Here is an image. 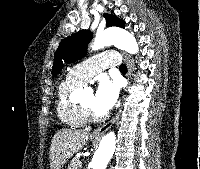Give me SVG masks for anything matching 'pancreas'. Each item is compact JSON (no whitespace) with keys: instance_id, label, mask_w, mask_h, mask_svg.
<instances>
[{"instance_id":"obj_1","label":"pancreas","mask_w":200,"mask_h":169,"mask_svg":"<svg viewBox=\"0 0 200 169\" xmlns=\"http://www.w3.org/2000/svg\"><path fill=\"white\" fill-rule=\"evenodd\" d=\"M79 163H80L79 158H73L68 166V169H79L78 165Z\"/></svg>"}]
</instances>
